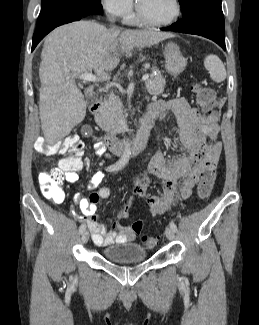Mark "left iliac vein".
<instances>
[{"mask_svg":"<svg viewBox=\"0 0 259 325\" xmlns=\"http://www.w3.org/2000/svg\"><path fill=\"white\" fill-rule=\"evenodd\" d=\"M165 235L170 241L174 240L175 238V232L171 229V227H167L165 229Z\"/></svg>","mask_w":259,"mask_h":325,"instance_id":"4c4485c4","label":"left iliac vein"}]
</instances>
